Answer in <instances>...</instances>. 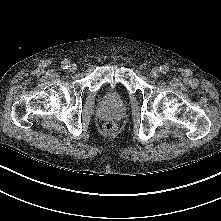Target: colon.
<instances>
[{"mask_svg": "<svg viewBox=\"0 0 221 221\" xmlns=\"http://www.w3.org/2000/svg\"><path fill=\"white\" fill-rule=\"evenodd\" d=\"M104 130L108 133H112L116 130V124L113 121H108L104 125Z\"/></svg>", "mask_w": 221, "mask_h": 221, "instance_id": "colon-1", "label": "colon"}]
</instances>
